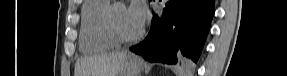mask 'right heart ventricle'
I'll return each mask as SVG.
<instances>
[{"label": "right heart ventricle", "instance_id": "e07e8e85", "mask_svg": "<svg viewBox=\"0 0 287 76\" xmlns=\"http://www.w3.org/2000/svg\"><path fill=\"white\" fill-rule=\"evenodd\" d=\"M110 0H86L81 8L80 48L83 52H103L115 42L104 29V16Z\"/></svg>", "mask_w": 287, "mask_h": 76}]
</instances>
